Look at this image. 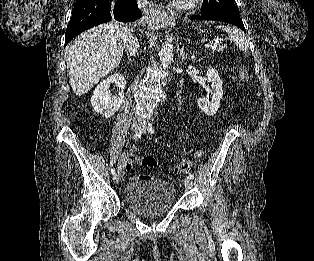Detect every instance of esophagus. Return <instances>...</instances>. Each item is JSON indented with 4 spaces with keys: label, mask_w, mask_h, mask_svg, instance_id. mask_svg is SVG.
I'll return each mask as SVG.
<instances>
[{
    "label": "esophagus",
    "mask_w": 314,
    "mask_h": 261,
    "mask_svg": "<svg viewBox=\"0 0 314 261\" xmlns=\"http://www.w3.org/2000/svg\"><path fill=\"white\" fill-rule=\"evenodd\" d=\"M152 12L155 14V15H158L159 17H163V15H166V12H161L160 10H152Z\"/></svg>",
    "instance_id": "34e87169"
}]
</instances>
